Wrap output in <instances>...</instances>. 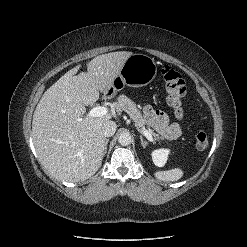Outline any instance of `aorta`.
Masks as SVG:
<instances>
[{"label": "aorta", "mask_w": 247, "mask_h": 247, "mask_svg": "<svg viewBox=\"0 0 247 247\" xmlns=\"http://www.w3.org/2000/svg\"><path fill=\"white\" fill-rule=\"evenodd\" d=\"M132 138L131 135L129 133H121L118 137V142L120 145L122 146H127L129 144H131Z\"/></svg>", "instance_id": "1"}]
</instances>
